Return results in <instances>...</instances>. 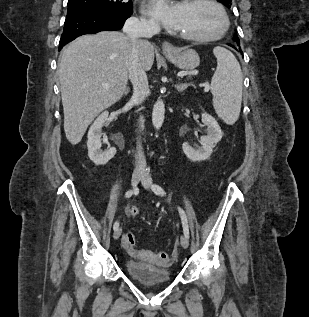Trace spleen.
<instances>
[{"instance_id": "spleen-1", "label": "spleen", "mask_w": 309, "mask_h": 317, "mask_svg": "<svg viewBox=\"0 0 309 317\" xmlns=\"http://www.w3.org/2000/svg\"><path fill=\"white\" fill-rule=\"evenodd\" d=\"M217 68L211 80L213 106L217 115L228 125L239 118L242 102L243 75L236 57L224 47H215Z\"/></svg>"}]
</instances>
